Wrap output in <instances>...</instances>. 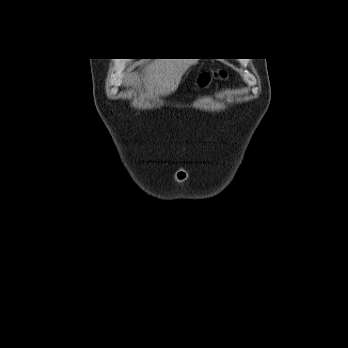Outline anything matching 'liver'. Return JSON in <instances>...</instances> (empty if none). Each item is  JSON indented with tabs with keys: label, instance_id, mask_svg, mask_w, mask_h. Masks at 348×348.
<instances>
[{
	"label": "liver",
	"instance_id": "liver-1",
	"mask_svg": "<svg viewBox=\"0 0 348 348\" xmlns=\"http://www.w3.org/2000/svg\"><path fill=\"white\" fill-rule=\"evenodd\" d=\"M196 59H155L144 69V87L148 91H155L167 96L179 86L182 76ZM137 77H133L134 82Z\"/></svg>",
	"mask_w": 348,
	"mask_h": 348
}]
</instances>
